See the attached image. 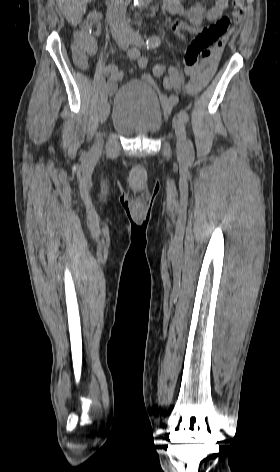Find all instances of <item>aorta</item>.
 I'll return each instance as SVG.
<instances>
[{
	"label": "aorta",
	"mask_w": 280,
	"mask_h": 472,
	"mask_svg": "<svg viewBox=\"0 0 280 472\" xmlns=\"http://www.w3.org/2000/svg\"><path fill=\"white\" fill-rule=\"evenodd\" d=\"M151 0H134V5H140V4H143L145 2H149Z\"/></svg>",
	"instance_id": "obj_1"
}]
</instances>
